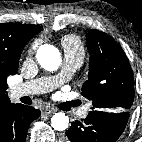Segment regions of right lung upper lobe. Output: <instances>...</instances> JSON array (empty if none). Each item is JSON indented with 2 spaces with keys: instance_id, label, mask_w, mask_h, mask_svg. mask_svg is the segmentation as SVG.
<instances>
[{
  "instance_id": "right-lung-upper-lobe-1",
  "label": "right lung upper lobe",
  "mask_w": 142,
  "mask_h": 142,
  "mask_svg": "<svg viewBox=\"0 0 142 142\" xmlns=\"http://www.w3.org/2000/svg\"><path fill=\"white\" fill-rule=\"evenodd\" d=\"M43 28L37 25L0 24V70L12 74L18 70L19 58L25 44ZM8 86L0 78V109L10 105Z\"/></svg>"
}]
</instances>
